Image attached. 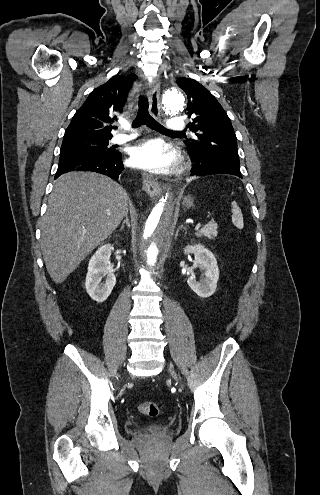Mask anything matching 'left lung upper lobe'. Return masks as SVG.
<instances>
[{"instance_id": "obj_1", "label": "left lung upper lobe", "mask_w": 320, "mask_h": 495, "mask_svg": "<svg viewBox=\"0 0 320 495\" xmlns=\"http://www.w3.org/2000/svg\"><path fill=\"white\" fill-rule=\"evenodd\" d=\"M176 84L188 98L189 129L197 139L185 141L189 153L213 163L239 167L237 139L231 121L217 99L194 79L180 77Z\"/></svg>"}]
</instances>
